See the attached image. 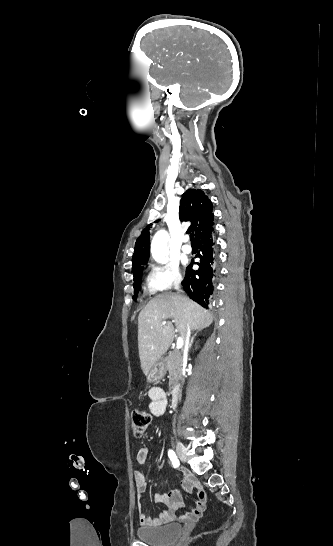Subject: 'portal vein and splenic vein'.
Wrapping results in <instances>:
<instances>
[{
    "label": "portal vein and splenic vein",
    "instance_id": "obj_1",
    "mask_svg": "<svg viewBox=\"0 0 333 546\" xmlns=\"http://www.w3.org/2000/svg\"><path fill=\"white\" fill-rule=\"evenodd\" d=\"M162 324L165 325V324H166V321H165V320L162 321ZM183 345H184V340H183V338H182V337H178L177 343H176V349H177V350L181 349V348L183 347Z\"/></svg>",
    "mask_w": 333,
    "mask_h": 546
}]
</instances>
